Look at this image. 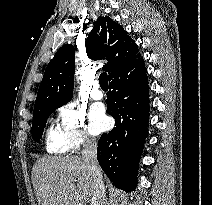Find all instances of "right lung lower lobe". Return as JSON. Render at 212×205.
<instances>
[{
    "label": "right lung lower lobe",
    "instance_id": "98d812e1",
    "mask_svg": "<svg viewBox=\"0 0 212 205\" xmlns=\"http://www.w3.org/2000/svg\"><path fill=\"white\" fill-rule=\"evenodd\" d=\"M107 112L115 119L97 148L99 164L113 184L126 192L136 187L138 165L148 133L150 99L143 57L109 77Z\"/></svg>",
    "mask_w": 212,
    "mask_h": 205
}]
</instances>
